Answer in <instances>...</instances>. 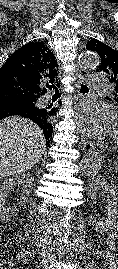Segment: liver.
Listing matches in <instances>:
<instances>
[{"instance_id":"1","label":"liver","mask_w":118,"mask_h":269,"mask_svg":"<svg viewBox=\"0 0 118 269\" xmlns=\"http://www.w3.org/2000/svg\"><path fill=\"white\" fill-rule=\"evenodd\" d=\"M45 150L43 132L31 120L14 116L0 121V178L31 169Z\"/></svg>"}]
</instances>
